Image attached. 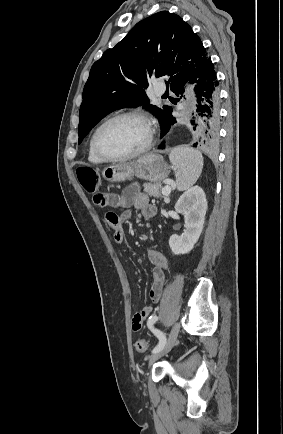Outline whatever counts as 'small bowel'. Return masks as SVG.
I'll return each mask as SVG.
<instances>
[{
    "instance_id": "c3829d8e",
    "label": "small bowel",
    "mask_w": 283,
    "mask_h": 434,
    "mask_svg": "<svg viewBox=\"0 0 283 434\" xmlns=\"http://www.w3.org/2000/svg\"><path fill=\"white\" fill-rule=\"evenodd\" d=\"M94 204L100 208H123L126 211L118 215L113 210H108L105 214L106 222L113 232L114 240L117 244L124 241L123 225L130 217V209L139 210L145 220H150L156 213L155 207L150 204L148 197L140 192L136 185H131L123 190L121 194L98 192L93 197ZM148 259L152 264V285L149 291V301L157 303L167 284L166 270L168 269V260L160 252L149 249L147 252ZM152 307L144 306L132 319V328L138 331L144 321L150 316Z\"/></svg>"
}]
</instances>
